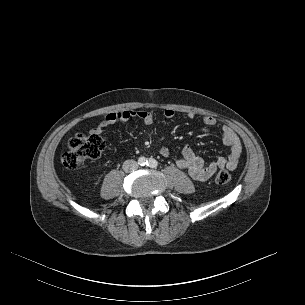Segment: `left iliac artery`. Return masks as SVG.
<instances>
[{"label":"left iliac artery","mask_w":305,"mask_h":305,"mask_svg":"<svg viewBox=\"0 0 305 305\" xmlns=\"http://www.w3.org/2000/svg\"><path fill=\"white\" fill-rule=\"evenodd\" d=\"M147 166L151 168H156L158 166V162L155 159L150 158L149 160H147Z\"/></svg>","instance_id":"1"}]
</instances>
